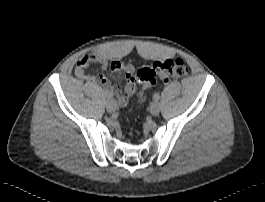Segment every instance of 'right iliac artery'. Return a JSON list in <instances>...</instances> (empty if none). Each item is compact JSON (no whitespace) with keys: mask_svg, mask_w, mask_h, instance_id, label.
<instances>
[{"mask_svg":"<svg viewBox=\"0 0 265 202\" xmlns=\"http://www.w3.org/2000/svg\"><path fill=\"white\" fill-rule=\"evenodd\" d=\"M106 96L108 99L111 97L108 92H106Z\"/></svg>","mask_w":265,"mask_h":202,"instance_id":"1","label":"right iliac artery"}]
</instances>
